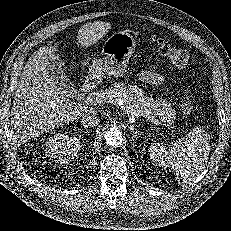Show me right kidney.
<instances>
[{
	"label": "right kidney",
	"instance_id": "right-kidney-1",
	"mask_svg": "<svg viewBox=\"0 0 231 231\" xmlns=\"http://www.w3.org/2000/svg\"><path fill=\"white\" fill-rule=\"evenodd\" d=\"M80 140L64 133H55L45 142V153L56 163H70L80 150Z\"/></svg>",
	"mask_w": 231,
	"mask_h": 231
}]
</instances>
